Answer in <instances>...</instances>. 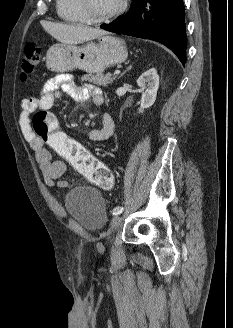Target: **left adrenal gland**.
<instances>
[{"mask_svg":"<svg viewBox=\"0 0 233 328\" xmlns=\"http://www.w3.org/2000/svg\"><path fill=\"white\" fill-rule=\"evenodd\" d=\"M131 67H132V66H129V67L127 68V70L124 71V73H122V74L120 75V77H122L127 71H129V70L131 69Z\"/></svg>","mask_w":233,"mask_h":328,"instance_id":"obj_1","label":"left adrenal gland"}]
</instances>
